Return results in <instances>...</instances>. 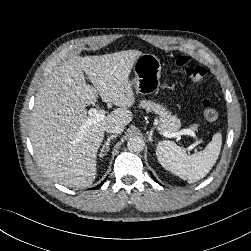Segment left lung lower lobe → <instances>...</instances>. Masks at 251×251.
<instances>
[{"label": "left lung lower lobe", "instance_id": "1", "mask_svg": "<svg viewBox=\"0 0 251 251\" xmlns=\"http://www.w3.org/2000/svg\"><path fill=\"white\" fill-rule=\"evenodd\" d=\"M151 177L153 178L154 181L157 182V180H156L155 177L152 175V173H151Z\"/></svg>", "mask_w": 251, "mask_h": 251}]
</instances>
